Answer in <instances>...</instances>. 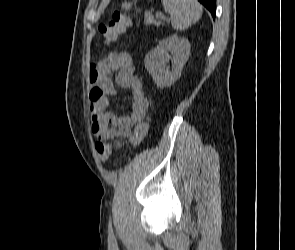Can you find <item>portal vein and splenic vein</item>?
<instances>
[{
  "label": "portal vein and splenic vein",
  "mask_w": 295,
  "mask_h": 250,
  "mask_svg": "<svg viewBox=\"0 0 295 250\" xmlns=\"http://www.w3.org/2000/svg\"><path fill=\"white\" fill-rule=\"evenodd\" d=\"M158 18L161 19V20H166V19H167V18H166L164 15H162V14H158Z\"/></svg>",
  "instance_id": "portal-vein-and-splenic-vein-1"
}]
</instances>
